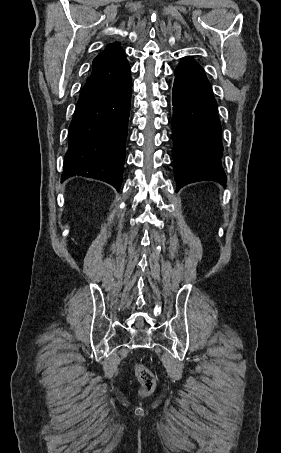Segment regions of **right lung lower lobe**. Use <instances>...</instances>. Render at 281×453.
<instances>
[{"instance_id":"right-lung-lower-lobe-1","label":"right lung lower lobe","mask_w":281,"mask_h":453,"mask_svg":"<svg viewBox=\"0 0 281 453\" xmlns=\"http://www.w3.org/2000/svg\"><path fill=\"white\" fill-rule=\"evenodd\" d=\"M131 89L124 51L92 69L69 127L61 181L81 175L120 190Z\"/></svg>"}]
</instances>
